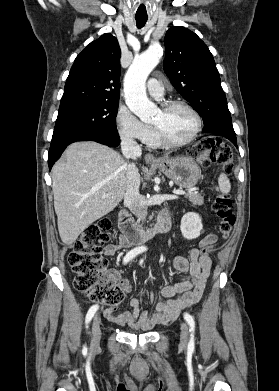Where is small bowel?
<instances>
[{
    "label": "small bowel",
    "mask_w": 279,
    "mask_h": 391,
    "mask_svg": "<svg viewBox=\"0 0 279 391\" xmlns=\"http://www.w3.org/2000/svg\"><path fill=\"white\" fill-rule=\"evenodd\" d=\"M217 236L213 233L207 234L200 241V249L193 248L190 251V259L182 256L174 258V267L183 273H189L191 279L184 280L174 285H168L161 289L162 299L155 303V311L140 312L139 301L132 298L129 304L131 311H125L115 314V307H108L104 311L105 317L120 326H130L136 329L149 330L157 325H169L187 307L198 302L206 287L207 279L211 270V259L203 253V250L214 245ZM128 247L124 243L123 237L118 244H109L105 246L103 252L107 256H114L118 251ZM112 278L119 280V285L125 293L131 291V285L126 278L120 276L116 271L110 273ZM154 301L153 295L151 296Z\"/></svg>",
    "instance_id": "small-bowel-1"
}]
</instances>
